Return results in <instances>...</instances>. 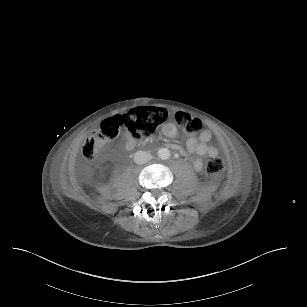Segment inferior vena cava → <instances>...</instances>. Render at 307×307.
I'll return each mask as SVG.
<instances>
[{"instance_id":"602c4592","label":"inferior vena cava","mask_w":307,"mask_h":307,"mask_svg":"<svg viewBox=\"0 0 307 307\" xmlns=\"http://www.w3.org/2000/svg\"><path fill=\"white\" fill-rule=\"evenodd\" d=\"M133 158L136 164H145L152 159V155L146 151H136Z\"/></svg>"}]
</instances>
